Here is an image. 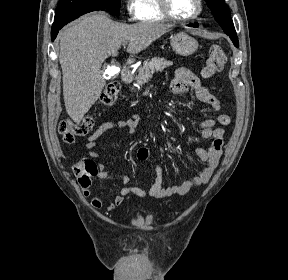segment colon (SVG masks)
<instances>
[{
    "label": "colon",
    "mask_w": 288,
    "mask_h": 280,
    "mask_svg": "<svg viewBox=\"0 0 288 280\" xmlns=\"http://www.w3.org/2000/svg\"><path fill=\"white\" fill-rule=\"evenodd\" d=\"M226 62V55L219 45H212L209 49L202 74L205 78H212L219 73ZM121 86L117 81L110 82L99 98V104L110 107L117 101ZM94 126L91 116L84 117L79 122L64 119L59 124V133L66 143L74 142L76 137L87 135ZM79 184L83 188L91 185L93 176L97 173V166L92 160H81L73 166Z\"/></svg>",
    "instance_id": "colon-1"
}]
</instances>
